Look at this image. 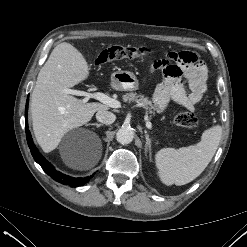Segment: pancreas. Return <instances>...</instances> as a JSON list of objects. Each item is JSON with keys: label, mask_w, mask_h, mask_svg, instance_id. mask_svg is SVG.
Returning a JSON list of instances; mask_svg holds the SVG:
<instances>
[{"label": "pancreas", "mask_w": 247, "mask_h": 247, "mask_svg": "<svg viewBox=\"0 0 247 247\" xmlns=\"http://www.w3.org/2000/svg\"><path fill=\"white\" fill-rule=\"evenodd\" d=\"M123 100L125 102H133L137 103L139 106H142L147 112L150 114H155V107L151 100H149L148 97H145L144 95H139L136 93H127L123 95Z\"/></svg>", "instance_id": "obj_1"}]
</instances>
